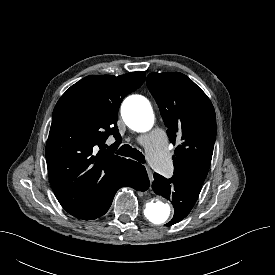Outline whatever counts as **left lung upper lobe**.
<instances>
[{
	"mask_svg": "<svg viewBox=\"0 0 275 275\" xmlns=\"http://www.w3.org/2000/svg\"><path fill=\"white\" fill-rule=\"evenodd\" d=\"M147 86L168 128L174 151V175L203 184L216 138V117L207 95L186 75L150 73Z\"/></svg>",
	"mask_w": 275,
	"mask_h": 275,
	"instance_id": "1",
	"label": "left lung upper lobe"
}]
</instances>
